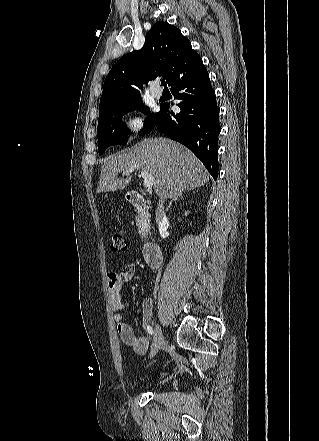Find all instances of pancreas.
<instances>
[{"mask_svg":"<svg viewBox=\"0 0 319 441\" xmlns=\"http://www.w3.org/2000/svg\"><path fill=\"white\" fill-rule=\"evenodd\" d=\"M136 226L138 227L139 234L143 239H146L150 229V214L148 211H138L135 215Z\"/></svg>","mask_w":319,"mask_h":441,"instance_id":"cf45deb5","label":"pancreas"}]
</instances>
